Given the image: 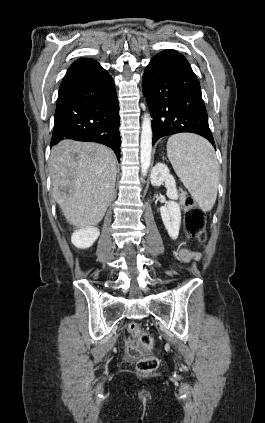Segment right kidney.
Instances as JSON below:
<instances>
[{
  "mask_svg": "<svg viewBox=\"0 0 265 423\" xmlns=\"http://www.w3.org/2000/svg\"><path fill=\"white\" fill-rule=\"evenodd\" d=\"M99 235L100 231L98 228L88 227L76 230L71 236V241L77 248L87 249L94 244Z\"/></svg>",
  "mask_w": 265,
  "mask_h": 423,
  "instance_id": "right-kidney-1",
  "label": "right kidney"
}]
</instances>
